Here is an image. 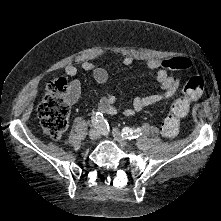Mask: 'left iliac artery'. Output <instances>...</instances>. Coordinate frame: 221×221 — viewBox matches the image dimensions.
Here are the masks:
<instances>
[{
  "instance_id": "44dca946",
  "label": "left iliac artery",
  "mask_w": 221,
  "mask_h": 221,
  "mask_svg": "<svg viewBox=\"0 0 221 221\" xmlns=\"http://www.w3.org/2000/svg\"><path fill=\"white\" fill-rule=\"evenodd\" d=\"M141 134H142V131L140 128L132 130L128 127H124L122 130V136L125 139H129V140H131L133 138H138Z\"/></svg>"
}]
</instances>
